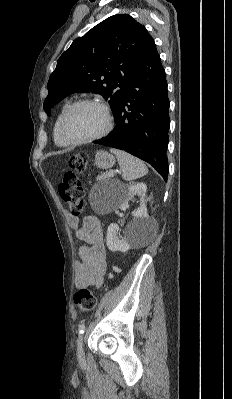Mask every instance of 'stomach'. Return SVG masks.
<instances>
[{"instance_id": "1", "label": "stomach", "mask_w": 232, "mask_h": 399, "mask_svg": "<svg viewBox=\"0 0 232 399\" xmlns=\"http://www.w3.org/2000/svg\"><path fill=\"white\" fill-rule=\"evenodd\" d=\"M115 164V158L112 154L104 152V150H98L95 154V166L102 168V170H109Z\"/></svg>"}]
</instances>
